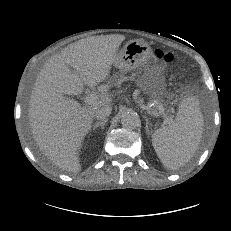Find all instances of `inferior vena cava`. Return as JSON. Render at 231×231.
Returning <instances> with one entry per match:
<instances>
[{
    "mask_svg": "<svg viewBox=\"0 0 231 231\" xmlns=\"http://www.w3.org/2000/svg\"><path fill=\"white\" fill-rule=\"evenodd\" d=\"M111 111H112L111 105L109 104L103 105L95 111V117L98 120H102V121L107 120L109 115L111 114Z\"/></svg>",
    "mask_w": 231,
    "mask_h": 231,
    "instance_id": "obj_1",
    "label": "inferior vena cava"
}]
</instances>
